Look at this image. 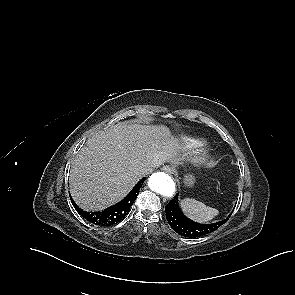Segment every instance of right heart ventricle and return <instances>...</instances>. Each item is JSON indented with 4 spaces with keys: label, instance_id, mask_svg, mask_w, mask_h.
Returning a JSON list of instances; mask_svg holds the SVG:
<instances>
[{
    "label": "right heart ventricle",
    "instance_id": "1",
    "mask_svg": "<svg viewBox=\"0 0 295 295\" xmlns=\"http://www.w3.org/2000/svg\"><path fill=\"white\" fill-rule=\"evenodd\" d=\"M181 144L185 149H193L201 146L203 142L196 138H183Z\"/></svg>",
    "mask_w": 295,
    "mask_h": 295
}]
</instances>
